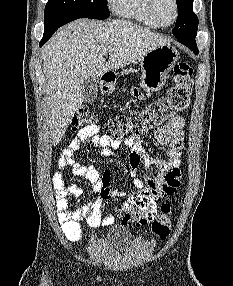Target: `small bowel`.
<instances>
[{
  "label": "small bowel",
  "instance_id": "obj_1",
  "mask_svg": "<svg viewBox=\"0 0 233 286\" xmlns=\"http://www.w3.org/2000/svg\"><path fill=\"white\" fill-rule=\"evenodd\" d=\"M136 95L141 96L136 92ZM184 117L182 115L171 116L166 124L155 131L157 142L166 147L165 157H155L149 154L142 145L139 136L127 137L123 141L112 138L109 135H100L99 125H90L81 129L69 145L63 150L58 161L59 170L53 176L56 209L58 220L66 238L72 242H79L84 235L80 221L85 219L90 227L112 225L116 215L107 213L102 216L101 202L111 197H125L126 194L110 186L111 175L109 172L100 174L92 166H84L74 159V153L86 142L90 141L99 148L104 157L112 155L113 150L124 144L129 150L128 163L131 176H135L139 167H154L159 171L156 177H146L145 180L135 179L134 185L137 192L131 195L122 207L118 215L124 224L135 222L139 225L151 221L156 213V203L159 199L173 195L180 185L181 156L183 148ZM65 168L78 176L85 177L91 184L99 198L81 205L79 208L69 210L72 198L81 197L83 191L76 185H66ZM148 198L150 205L145 208V216L141 221H134L129 217L131 202L135 198Z\"/></svg>",
  "mask_w": 233,
  "mask_h": 286
}]
</instances>
